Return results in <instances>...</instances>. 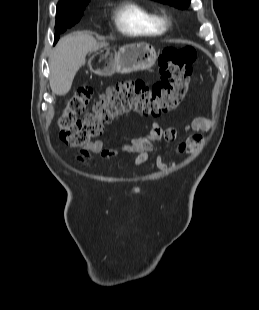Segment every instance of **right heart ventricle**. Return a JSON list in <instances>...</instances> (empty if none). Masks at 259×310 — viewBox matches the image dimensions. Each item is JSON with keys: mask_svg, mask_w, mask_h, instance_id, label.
Listing matches in <instances>:
<instances>
[{"mask_svg": "<svg viewBox=\"0 0 259 310\" xmlns=\"http://www.w3.org/2000/svg\"><path fill=\"white\" fill-rule=\"evenodd\" d=\"M114 23L121 32L130 36H156L166 30L154 11L133 0L117 6Z\"/></svg>", "mask_w": 259, "mask_h": 310, "instance_id": "1", "label": "right heart ventricle"}]
</instances>
